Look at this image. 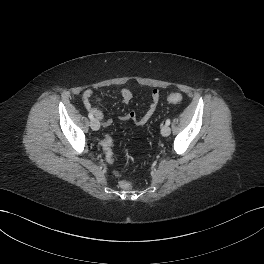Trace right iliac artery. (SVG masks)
<instances>
[{
	"instance_id": "obj_1",
	"label": "right iliac artery",
	"mask_w": 264,
	"mask_h": 264,
	"mask_svg": "<svg viewBox=\"0 0 264 264\" xmlns=\"http://www.w3.org/2000/svg\"><path fill=\"white\" fill-rule=\"evenodd\" d=\"M88 117H89L91 120L94 119V116H93L91 113L88 114Z\"/></svg>"
}]
</instances>
